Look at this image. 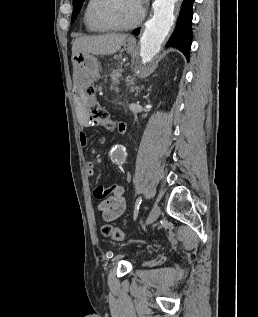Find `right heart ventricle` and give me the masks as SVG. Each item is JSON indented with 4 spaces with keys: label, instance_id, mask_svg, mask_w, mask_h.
<instances>
[{
    "label": "right heart ventricle",
    "instance_id": "1",
    "mask_svg": "<svg viewBox=\"0 0 258 317\" xmlns=\"http://www.w3.org/2000/svg\"><path fill=\"white\" fill-rule=\"evenodd\" d=\"M96 0H87L84 8L83 20L87 31L90 33H103L106 29H103L96 25L91 18V10Z\"/></svg>",
    "mask_w": 258,
    "mask_h": 317
}]
</instances>
